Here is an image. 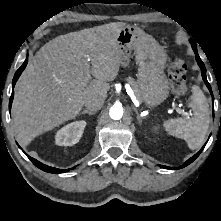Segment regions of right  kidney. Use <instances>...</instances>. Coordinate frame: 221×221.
Returning <instances> with one entry per match:
<instances>
[{"mask_svg": "<svg viewBox=\"0 0 221 221\" xmlns=\"http://www.w3.org/2000/svg\"><path fill=\"white\" fill-rule=\"evenodd\" d=\"M86 127V121H75L59 129L55 135V144L72 146L79 142Z\"/></svg>", "mask_w": 221, "mask_h": 221, "instance_id": "1", "label": "right kidney"}]
</instances>
